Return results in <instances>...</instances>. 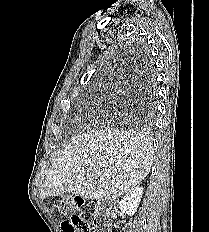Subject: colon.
Here are the masks:
<instances>
[{
    "label": "colon",
    "mask_w": 209,
    "mask_h": 232,
    "mask_svg": "<svg viewBox=\"0 0 209 232\" xmlns=\"http://www.w3.org/2000/svg\"><path fill=\"white\" fill-rule=\"evenodd\" d=\"M64 232H92L88 219L83 214H72L69 221L62 223Z\"/></svg>",
    "instance_id": "obj_1"
}]
</instances>
